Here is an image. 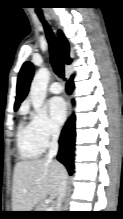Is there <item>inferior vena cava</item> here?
Returning <instances> with one entry per match:
<instances>
[{
	"label": "inferior vena cava",
	"instance_id": "602c4592",
	"mask_svg": "<svg viewBox=\"0 0 123 219\" xmlns=\"http://www.w3.org/2000/svg\"><path fill=\"white\" fill-rule=\"evenodd\" d=\"M60 134V129L59 127H52L51 130V135H52V140L49 146V152L46 156L48 160H52L58 153V138ZM66 190H67V185H66V180H62L60 184V188L58 191V204L59 206L61 205L65 195H66Z\"/></svg>",
	"mask_w": 123,
	"mask_h": 219
}]
</instances>
